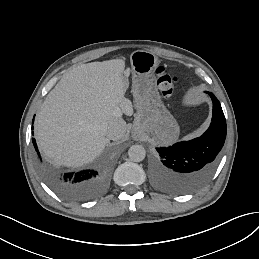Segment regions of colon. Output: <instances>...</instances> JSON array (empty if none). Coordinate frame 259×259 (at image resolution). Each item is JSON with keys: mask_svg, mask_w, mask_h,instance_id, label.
I'll return each instance as SVG.
<instances>
[{"mask_svg": "<svg viewBox=\"0 0 259 259\" xmlns=\"http://www.w3.org/2000/svg\"><path fill=\"white\" fill-rule=\"evenodd\" d=\"M157 85L165 98H173L178 90V78L164 68L157 70Z\"/></svg>", "mask_w": 259, "mask_h": 259, "instance_id": "1", "label": "colon"}]
</instances>
